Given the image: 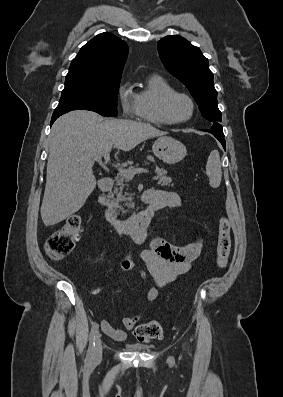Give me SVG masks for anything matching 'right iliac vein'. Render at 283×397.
<instances>
[{
    "mask_svg": "<svg viewBox=\"0 0 283 397\" xmlns=\"http://www.w3.org/2000/svg\"><path fill=\"white\" fill-rule=\"evenodd\" d=\"M102 350H103V347H102V342H101V339H100V334H97L96 342H95V348H94V352H93V359L94 360H99L101 358Z\"/></svg>",
    "mask_w": 283,
    "mask_h": 397,
    "instance_id": "obj_1",
    "label": "right iliac vein"
}]
</instances>
